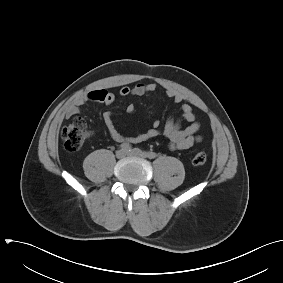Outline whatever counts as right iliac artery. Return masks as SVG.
<instances>
[{
  "mask_svg": "<svg viewBox=\"0 0 283 283\" xmlns=\"http://www.w3.org/2000/svg\"><path fill=\"white\" fill-rule=\"evenodd\" d=\"M120 148L125 151H130L132 147L129 143L125 142L120 145Z\"/></svg>",
  "mask_w": 283,
  "mask_h": 283,
  "instance_id": "82829eb1",
  "label": "right iliac artery"
}]
</instances>
